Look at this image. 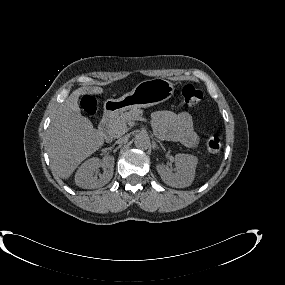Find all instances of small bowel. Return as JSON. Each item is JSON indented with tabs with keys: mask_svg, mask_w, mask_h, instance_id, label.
Instances as JSON below:
<instances>
[{
	"mask_svg": "<svg viewBox=\"0 0 285 285\" xmlns=\"http://www.w3.org/2000/svg\"><path fill=\"white\" fill-rule=\"evenodd\" d=\"M152 124L160 138L177 141L190 148L199 145V137L194 131L192 118L188 113L156 111L152 115Z\"/></svg>",
	"mask_w": 285,
	"mask_h": 285,
	"instance_id": "1",
	"label": "small bowel"
}]
</instances>
